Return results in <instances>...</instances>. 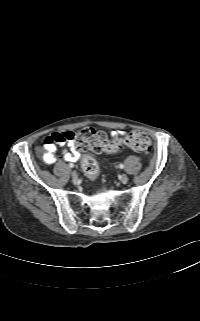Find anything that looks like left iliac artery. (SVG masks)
<instances>
[{
	"label": "left iliac artery",
	"instance_id": "obj_1",
	"mask_svg": "<svg viewBox=\"0 0 200 321\" xmlns=\"http://www.w3.org/2000/svg\"><path fill=\"white\" fill-rule=\"evenodd\" d=\"M119 168H120V169H123V168H124V164H120V165H119Z\"/></svg>",
	"mask_w": 200,
	"mask_h": 321
}]
</instances>
